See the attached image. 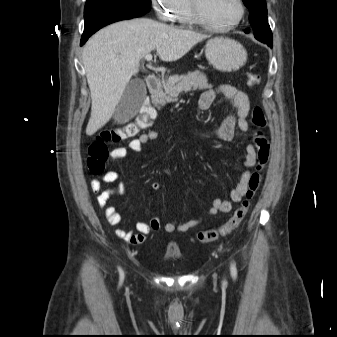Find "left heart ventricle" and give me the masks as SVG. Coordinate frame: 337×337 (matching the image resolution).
I'll use <instances>...</instances> for the list:
<instances>
[{"mask_svg":"<svg viewBox=\"0 0 337 337\" xmlns=\"http://www.w3.org/2000/svg\"><path fill=\"white\" fill-rule=\"evenodd\" d=\"M203 15L212 23L229 24L239 15L236 0H199Z\"/></svg>","mask_w":337,"mask_h":337,"instance_id":"b2bd125f","label":"left heart ventricle"}]
</instances>
